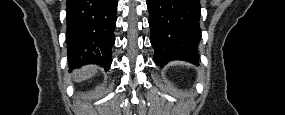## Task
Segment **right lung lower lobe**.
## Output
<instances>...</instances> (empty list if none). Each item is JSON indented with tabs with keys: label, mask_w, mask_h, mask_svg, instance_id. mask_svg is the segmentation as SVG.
<instances>
[{
	"label": "right lung lower lobe",
	"mask_w": 285,
	"mask_h": 115,
	"mask_svg": "<svg viewBox=\"0 0 285 115\" xmlns=\"http://www.w3.org/2000/svg\"><path fill=\"white\" fill-rule=\"evenodd\" d=\"M117 0H68L67 31L70 70L86 64L111 65Z\"/></svg>",
	"instance_id": "1"
}]
</instances>
